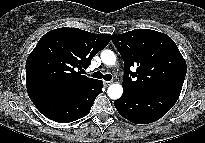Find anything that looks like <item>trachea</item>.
<instances>
[{"label": "trachea", "instance_id": "3493384b", "mask_svg": "<svg viewBox=\"0 0 205 143\" xmlns=\"http://www.w3.org/2000/svg\"><path fill=\"white\" fill-rule=\"evenodd\" d=\"M92 77L94 78H98V79H104L106 81H110L112 79L111 74H105L103 75L101 72L97 71L95 73L92 74Z\"/></svg>", "mask_w": 205, "mask_h": 143}]
</instances>
